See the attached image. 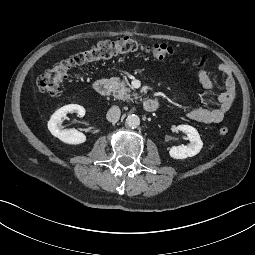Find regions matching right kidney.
<instances>
[{
	"instance_id": "obj_1",
	"label": "right kidney",
	"mask_w": 255,
	"mask_h": 255,
	"mask_svg": "<svg viewBox=\"0 0 255 255\" xmlns=\"http://www.w3.org/2000/svg\"><path fill=\"white\" fill-rule=\"evenodd\" d=\"M68 112H76L80 117L85 115V108L78 104H69L58 109L48 121V129L51 134L64 143L82 144L86 141V136L76 129H63L62 122L66 119Z\"/></svg>"
}]
</instances>
